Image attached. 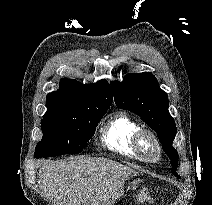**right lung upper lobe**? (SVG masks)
Listing matches in <instances>:
<instances>
[{
  "instance_id": "obj_1",
  "label": "right lung upper lobe",
  "mask_w": 212,
  "mask_h": 205,
  "mask_svg": "<svg viewBox=\"0 0 212 205\" xmlns=\"http://www.w3.org/2000/svg\"><path fill=\"white\" fill-rule=\"evenodd\" d=\"M113 94L106 80L83 84L72 79H61L60 88L47 95L45 115H57L68 109L111 105Z\"/></svg>"
}]
</instances>
